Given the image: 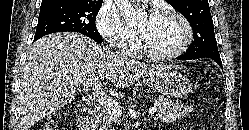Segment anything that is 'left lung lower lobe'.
Segmentation results:
<instances>
[{"label":"left lung lower lobe","instance_id":"left-lung-lower-lobe-1","mask_svg":"<svg viewBox=\"0 0 249 130\" xmlns=\"http://www.w3.org/2000/svg\"><path fill=\"white\" fill-rule=\"evenodd\" d=\"M199 58H210L214 60L216 63L219 64V66L222 68V62L220 56H210V55H204V54H184L180 55L177 57V59H187V60H192V59H199Z\"/></svg>","mask_w":249,"mask_h":130}]
</instances>
